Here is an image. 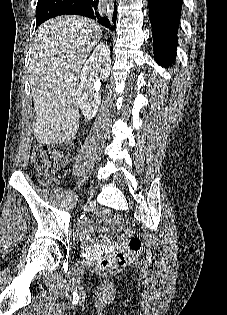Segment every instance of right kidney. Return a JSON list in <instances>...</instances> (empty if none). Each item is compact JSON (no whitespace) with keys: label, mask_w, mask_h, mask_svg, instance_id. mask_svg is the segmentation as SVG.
Returning <instances> with one entry per match:
<instances>
[{"label":"right kidney","mask_w":227,"mask_h":315,"mask_svg":"<svg viewBox=\"0 0 227 315\" xmlns=\"http://www.w3.org/2000/svg\"><path fill=\"white\" fill-rule=\"evenodd\" d=\"M111 72L109 47L105 43L98 44L89 59L85 62L80 75L81 82L77 89V103L84 117L88 120L95 117L101 103V96L94 93V76L100 73L107 79Z\"/></svg>","instance_id":"1"}]
</instances>
